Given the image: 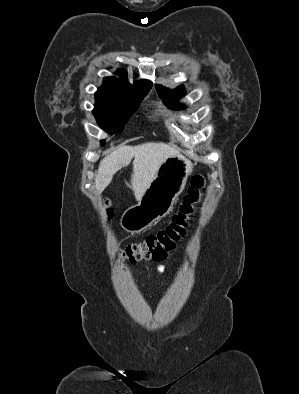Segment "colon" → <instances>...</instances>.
<instances>
[{"instance_id":"obj_1","label":"colon","mask_w":299,"mask_h":394,"mask_svg":"<svg viewBox=\"0 0 299 394\" xmlns=\"http://www.w3.org/2000/svg\"><path fill=\"white\" fill-rule=\"evenodd\" d=\"M204 186V176L195 175L191 179L187 193L180 204L178 212L173 215L171 222L164 229L147 236L145 239L127 245L121 250L122 257L129 262L164 258L185 235L190 218L195 212V206L200 201ZM102 205L108 210L107 214L110 215L111 201L105 198Z\"/></svg>"}]
</instances>
